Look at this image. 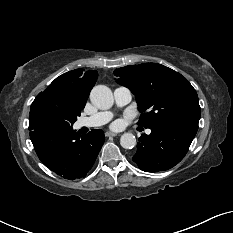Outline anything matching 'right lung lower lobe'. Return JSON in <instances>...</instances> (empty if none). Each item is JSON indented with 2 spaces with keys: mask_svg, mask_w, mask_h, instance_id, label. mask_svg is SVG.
<instances>
[{
  "mask_svg": "<svg viewBox=\"0 0 233 233\" xmlns=\"http://www.w3.org/2000/svg\"><path fill=\"white\" fill-rule=\"evenodd\" d=\"M39 159L63 178L85 177L104 143L102 130L93 129L81 137L71 128H29Z\"/></svg>",
  "mask_w": 233,
  "mask_h": 233,
  "instance_id": "98d812e1",
  "label": "right lung lower lobe"
}]
</instances>
